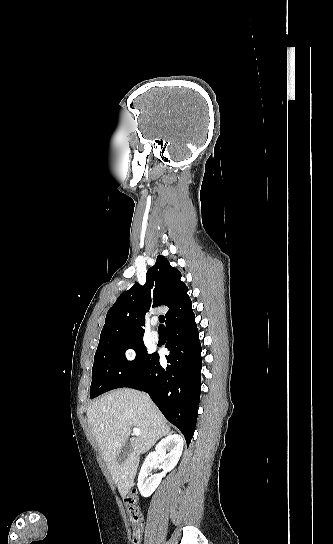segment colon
Here are the masks:
<instances>
[{
    "instance_id": "obj_1",
    "label": "colon",
    "mask_w": 333,
    "mask_h": 544,
    "mask_svg": "<svg viewBox=\"0 0 333 544\" xmlns=\"http://www.w3.org/2000/svg\"><path fill=\"white\" fill-rule=\"evenodd\" d=\"M132 525V544H140L143 530V518L138 505L136 490L133 489L124 499Z\"/></svg>"
}]
</instances>
